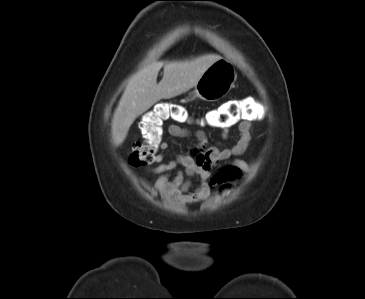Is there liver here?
<instances>
[{
  "mask_svg": "<svg viewBox=\"0 0 365 299\" xmlns=\"http://www.w3.org/2000/svg\"><path fill=\"white\" fill-rule=\"evenodd\" d=\"M220 58L215 54H206L192 60L154 62L138 71L129 80L113 114V143L121 145L135 119L155 103L193 88L205 70ZM162 67L163 78L157 84V76Z\"/></svg>",
  "mask_w": 365,
  "mask_h": 299,
  "instance_id": "6515ba94",
  "label": "liver"
}]
</instances>
